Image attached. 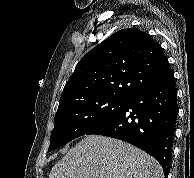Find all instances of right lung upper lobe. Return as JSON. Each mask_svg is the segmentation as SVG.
I'll list each match as a JSON object with an SVG mask.
<instances>
[{
  "instance_id": "cb5924a9",
  "label": "right lung upper lobe",
  "mask_w": 194,
  "mask_h": 178,
  "mask_svg": "<svg viewBox=\"0 0 194 178\" xmlns=\"http://www.w3.org/2000/svg\"><path fill=\"white\" fill-rule=\"evenodd\" d=\"M174 76L159 43L136 28L121 29L90 50L63 89L59 108L98 96L129 98Z\"/></svg>"
}]
</instances>
